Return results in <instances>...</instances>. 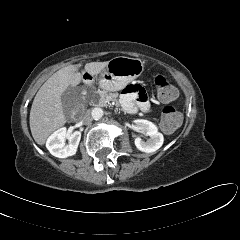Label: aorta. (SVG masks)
<instances>
[{
    "instance_id": "aorta-1",
    "label": "aorta",
    "mask_w": 240,
    "mask_h": 240,
    "mask_svg": "<svg viewBox=\"0 0 240 240\" xmlns=\"http://www.w3.org/2000/svg\"><path fill=\"white\" fill-rule=\"evenodd\" d=\"M91 115L94 120H99L103 116V110L99 107H96L92 110Z\"/></svg>"
}]
</instances>
